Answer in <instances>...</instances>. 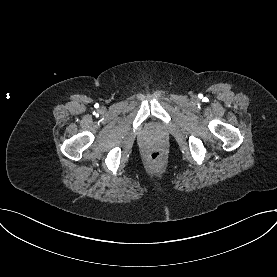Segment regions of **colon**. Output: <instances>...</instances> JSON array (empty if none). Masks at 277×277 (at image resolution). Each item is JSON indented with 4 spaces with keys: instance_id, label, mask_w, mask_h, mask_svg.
<instances>
[{
    "instance_id": "1",
    "label": "colon",
    "mask_w": 277,
    "mask_h": 277,
    "mask_svg": "<svg viewBox=\"0 0 277 277\" xmlns=\"http://www.w3.org/2000/svg\"><path fill=\"white\" fill-rule=\"evenodd\" d=\"M149 159L152 162H158L161 159V153L158 151H153L149 154Z\"/></svg>"
}]
</instances>
